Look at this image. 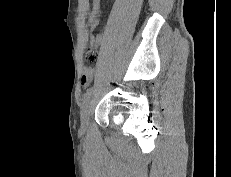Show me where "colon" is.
I'll return each mask as SVG.
<instances>
[{"instance_id": "1", "label": "colon", "mask_w": 231, "mask_h": 177, "mask_svg": "<svg viewBox=\"0 0 231 177\" xmlns=\"http://www.w3.org/2000/svg\"><path fill=\"white\" fill-rule=\"evenodd\" d=\"M85 58L88 63H94L98 58V54L94 48L89 47L86 50Z\"/></svg>"}]
</instances>
